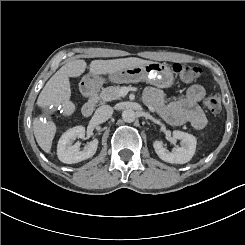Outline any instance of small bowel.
I'll return each instance as SVG.
<instances>
[{"label":"small bowel","mask_w":245,"mask_h":245,"mask_svg":"<svg viewBox=\"0 0 245 245\" xmlns=\"http://www.w3.org/2000/svg\"><path fill=\"white\" fill-rule=\"evenodd\" d=\"M205 94V89L195 84L187 90L182 99L168 102L160 89L148 87L144 92V101L170 125L190 124L194 129L200 130L207 123L206 115L200 107Z\"/></svg>","instance_id":"obj_1"}]
</instances>
